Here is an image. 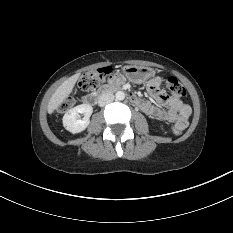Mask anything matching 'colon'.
<instances>
[{
  "instance_id": "5ec220e1",
  "label": "colon",
  "mask_w": 233,
  "mask_h": 233,
  "mask_svg": "<svg viewBox=\"0 0 233 233\" xmlns=\"http://www.w3.org/2000/svg\"><path fill=\"white\" fill-rule=\"evenodd\" d=\"M111 74L110 67H102L95 71H90L82 75L79 80L78 86L83 91H90L97 88L101 83L106 81ZM167 89L171 96L182 97L185 95L184 86L175 77L168 78L166 82ZM74 103L72 97L65 99L59 107V111L68 110ZM183 130L179 126L173 127V133L176 135L181 134Z\"/></svg>"
}]
</instances>
